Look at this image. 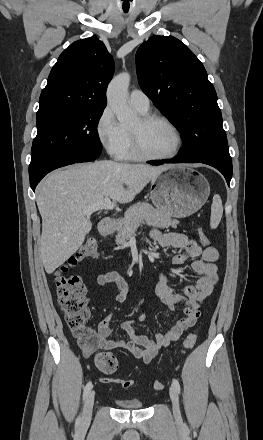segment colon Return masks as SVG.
<instances>
[{
	"mask_svg": "<svg viewBox=\"0 0 263 440\" xmlns=\"http://www.w3.org/2000/svg\"><path fill=\"white\" fill-rule=\"evenodd\" d=\"M199 238L203 245L207 246L209 244V239L203 230L199 231ZM97 256V242L94 239H89L75 255L55 272V284L60 309L73 337L86 352L93 348L97 340L95 333L89 331L86 327L89 316L86 287L79 276L70 275L67 272L69 268L76 266L84 259L96 258ZM196 338V333H191L186 337L183 343L185 352L193 348ZM95 365L102 373L112 374L118 368V361L113 354L102 352L95 356ZM111 381L125 389L134 386V382L129 379H112ZM163 387L164 383L160 380H156L153 384V388L157 391L163 389Z\"/></svg>",
	"mask_w": 263,
	"mask_h": 440,
	"instance_id": "1",
	"label": "colon"
}]
</instances>
